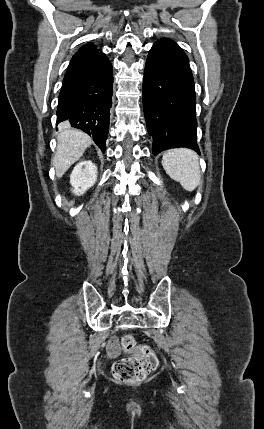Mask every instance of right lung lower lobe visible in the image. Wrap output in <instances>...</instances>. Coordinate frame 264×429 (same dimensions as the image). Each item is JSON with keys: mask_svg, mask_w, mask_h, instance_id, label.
Segmentation results:
<instances>
[{"mask_svg": "<svg viewBox=\"0 0 264 429\" xmlns=\"http://www.w3.org/2000/svg\"><path fill=\"white\" fill-rule=\"evenodd\" d=\"M112 65L105 54L96 51L70 64L63 80L57 108V124L89 134L105 152L112 106Z\"/></svg>", "mask_w": 264, "mask_h": 429, "instance_id": "right-lung-lower-lobe-1", "label": "right lung lower lobe"}]
</instances>
